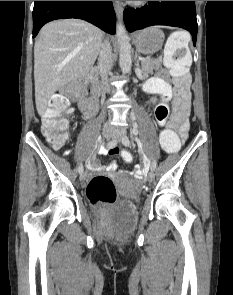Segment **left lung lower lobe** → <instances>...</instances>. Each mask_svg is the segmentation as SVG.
I'll return each mask as SVG.
<instances>
[{
    "label": "left lung lower lobe",
    "instance_id": "obj_1",
    "mask_svg": "<svg viewBox=\"0 0 233 295\" xmlns=\"http://www.w3.org/2000/svg\"><path fill=\"white\" fill-rule=\"evenodd\" d=\"M124 22L128 32L152 25H169L188 30L196 45L197 19L195 1H149L139 9H125Z\"/></svg>",
    "mask_w": 233,
    "mask_h": 295
}]
</instances>
